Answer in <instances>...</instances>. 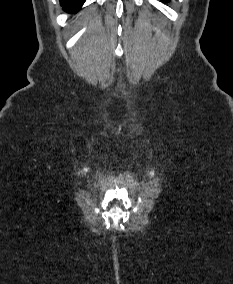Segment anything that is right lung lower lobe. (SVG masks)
I'll return each instance as SVG.
<instances>
[{"instance_id":"right-lung-lower-lobe-1","label":"right lung lower lobe","mask_w":233,"mask_h":284,"mask_svg":"<svg viewBox=\"0 0 233 284\" xmlns=\"http://www.w3.org/2000/svg\"><path fill=\"white\" fill-rule=\"evenodd\" d=\"M85 0H60L63 10L68 13H76L79 11Z\"/></svg>"}]
</instances>
